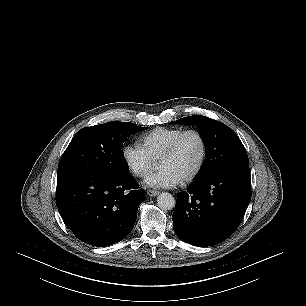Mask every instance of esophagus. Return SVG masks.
I'll use <instances>...</instances> for the list:
<instances>
[{"mask_svg":"<svg viewBox=\"0 0 306 306\" xmlns=\"http://www.w3.org/2000/svg\"><path fill=\"white\" fill-rule=\"evenodd\" d=\"M159 191H155V190H148L147 191V195L150 196V197H155L157 195H159Z\"/></svg>","mask_w":306,"mask_h":306,"instance_id":"1","label":"esophagus"}]
</instances>
